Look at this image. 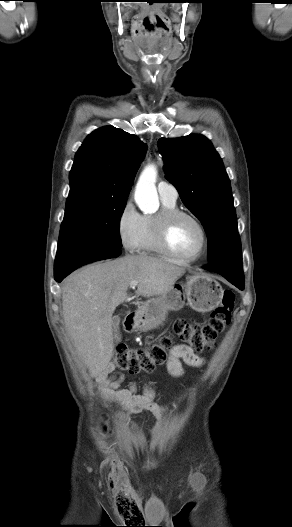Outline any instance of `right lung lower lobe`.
Segmentation results:
<instances>
[{
    "mask_svg": "<svg viewBox=\"0 0 292 527\" xmlns=\"http://www.w3.org/2000/svg\"><path fill=\"white\" fill-rule=\"evenodd\" d=\"M120 248L102 242L59 243L54 268V278L61 282L78 267L109 258L118 257Z\"/></svg>",
    "mask_w": 292,
    "mask_h": 527,
    "instance_id": "1",
    "label": "right lung lower lobe"
}]
</instances>
